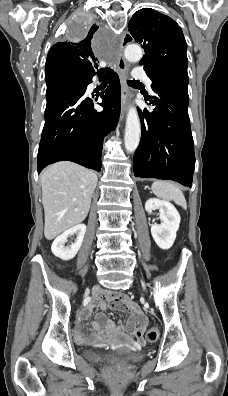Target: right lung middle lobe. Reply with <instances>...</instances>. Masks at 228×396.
<instances>
[{"instance_id": "obj_1", "label": "right lung middle lobe", "mask_w": 228, "mask_h": 396, "mask_svg": "<svg viewBox=\"0 0 228 396\" xmlns=\"http://www.w3.org/2000/svg\"><path fill=\"white\" fill-rule=\"evenodd\" d=\"M90 23V17L85 14H81L73 19L71 30L77 36L82 35L84 32L87 31ZM92 27H94V25ZM78 78V75L70 71L52 72L45 74L47 84V101H50L56 94H58L63 89L74 84L78 80Z\"/></svg>"}]
</instances>
